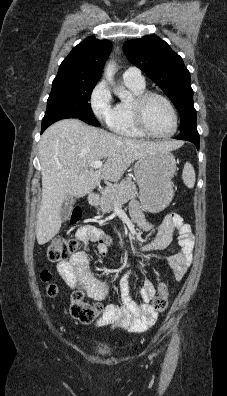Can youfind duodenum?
<instances>
[{"instance_id": "1", "label": "duodenum", "mask_w": 227, "mask_h": 396, "mask_svg": "<svg viewBox=\"0 0 227 396\" xmlns=\"http://www.w3.org/2000/svg\"><path fill=\"white\" fill-rule=\"evenodd\" d=\"M88 199L91 205H97L99 203V197L96 193H90Z\"/></svg>"}]
</instances>
